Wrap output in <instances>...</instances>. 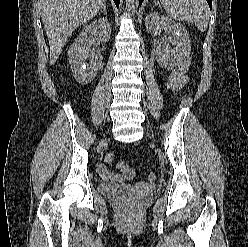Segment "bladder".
Here are the masks:
<instances>
[{"instance_id": "bladder-1", "label": "bladder", "mask_w": 248, "mask_h": 247, "mask_svg": "<svg viewBox=\"0 0 248 247\" xmlns=\"http://www.w3.org/2000/svg\"><path fill=\"white\" fill-rule=\"evenodd\" d=\"M130 188L122 187L115 184H101L99 187L100 193L105 196L119 197L124 192H127Z\"/></svg>"}]
</instances>
